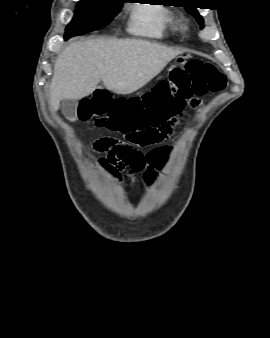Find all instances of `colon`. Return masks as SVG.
Returning a JSON list of instances; mask_svg holds the SVG:
<instances>
[{
  "instance_id": "1",
  "label": "colon",
  "mask_w": 270,
  "mask_h": 338,
  "mask_svg": "<svg viewBox=\"0 0 270 338\" xmlns=\"http://www.w3.org/2000/svg\"><path fill=\"white\" fill-rule=\"evenodd\" d=\"M225 86V76L213 64L192 59L185 69L172 71L168 80L159 82L141 98L113 99L106 91L95 92L82 101L78 118L118 131L132 144L148 147L171 135V126L186 108L199 104L196 96L221 91ZM156 156L151 153V157ZM118 167H130L131 172L138 173L144 163L140 153L132 148Z\"/></svg>"
}]
</instances>
